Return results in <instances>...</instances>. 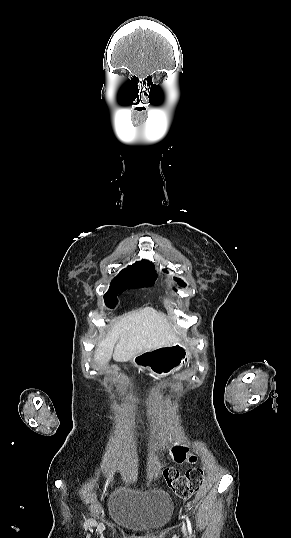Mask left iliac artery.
Segmentation results:
<instances>
[{"label":"left iliac artery","mask_w":291,"mask_h":538,"mask_svg":"<svg viewBox=\"0 0 291 538\" xmlns=\"http://www.w3.org/2000/svg\"><path fill=\"white\" fill-rule=\"evenodd\" d=\"M186 521H187V528H188L189 535H191L192 534V527H191V523H190V520L188 519V517H186Z\"/></svg>","instance_id":"left-iliac-artery-1"}]
</instances>
